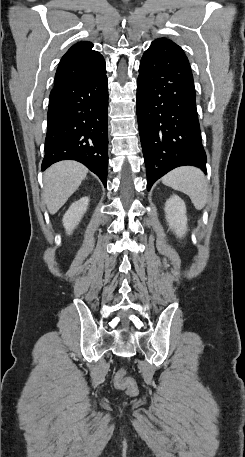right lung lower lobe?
<instances>
[{"mask_svg":"<svg viewBox=\"0 0 245 457\" xmlns=\"http://www.w3.org/2000/svg\"><path fill=\"white\" fill-rule=\"evenodd\" d=\"M106 69L54 85L49 98L42 170L76 160L106 186L108 165Z\"/></svg>","mask_w":245,"mask_h":457,"instance_id":"obj_1","label":"right lung lower lobe"}]
</instances>
